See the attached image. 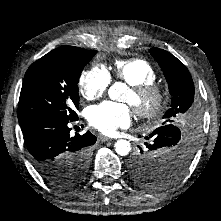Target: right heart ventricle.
<instances>
[{
	"label": "right heart ventricle",
	"instance_id": "obj_1",
	"mask_svg": "<svg viewBox=\"0 0 221 221\" xmlns=\"http://www.w3.org/2000/svg\"><path fill=\"white\" fill-rule=\"evenodd\" d=\"M113 73L116 78L130 86L154 82L156 72L153 66L145 59H119L114 62Z\"/></svg>",
	"mask_w": 221,
	"mask_h": 221
}]
</instances>
